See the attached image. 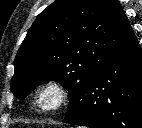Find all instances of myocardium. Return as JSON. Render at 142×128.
Masks as SVG:
<instances>
[{"label":"myocardium","instance_id":"1","mask_svg":"<svg viewBox=\"0 0 142 128\" xmlns=\"http://www.w3.org/2000/svg\"><path fill=\"white\" fill-rule=\"evenodd\" d=\"M46 96L52 97L50 104H45ZM69 92L66 86L60 81L51 79L43 83L36 93V105L45 113H54L61 110L68 102Z\"/></svg>","mask_w":142,"mask_h":128}]
</instances>
